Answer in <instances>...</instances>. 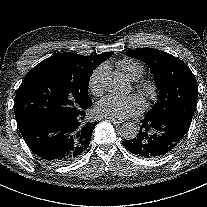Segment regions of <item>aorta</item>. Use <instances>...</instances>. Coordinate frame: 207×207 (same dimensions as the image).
Instances as JSON below:
<instances>
[{"instance_id":"762f6f07","label":"aorta","mask_w":207,"mask_h":207,"mask_svg":"<svg viewBox=\"0 0 207 207\" xmlns=\"http://www.w3.org/2000/svg\"><path fill=\"white\" fill-rule=\"evenodd\" d=\"M106 90L113 94H123L128 90V80L121 73L110 74L104 79ZM139 127L133 122H126L120 128V135L125 140H131L137 136Z\"/></svg>"}]
</instances>
